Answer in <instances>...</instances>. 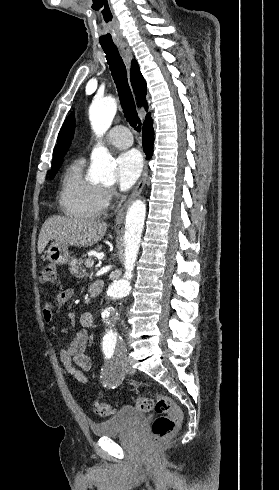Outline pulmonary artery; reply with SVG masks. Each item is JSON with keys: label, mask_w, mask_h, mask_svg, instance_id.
Segmentation results:
<instances>
[{"label": "pulmonary artery", "mask_w": 279, "mask_h": 490, "mask_svg": "<svg viewBox=\"0 0 279 490\" xmlns=\"http://www.w3.org/2000/svg\"><path fill=\"white\" fill-rule=\"evenodd\" d=\"M128 130L124 126L114 127L107 136V142L117 148L126 149L132 145V138L127 137Z\"/></svg>", "instance_id": "obj_1"}]
</instances>
